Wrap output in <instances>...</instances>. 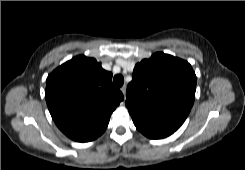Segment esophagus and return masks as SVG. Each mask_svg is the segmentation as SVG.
<instances>
[{
    "instance_id": "esophagus-1",
    "label": "esophagus",
    "mask_w": 245,
    "mask_h": 170,
    "mask_svg": "<svg viewBox=\"0 0 245 170\" xmlns=\"http://www.w3.org/2000/svg\"><path fill=\"white\" fill-rule=\"evenodd\" d=\"M120 90L123 93V95L125 96V94H126V86L125 85L122 86Z\"/></svg>"
}]
</instances>
